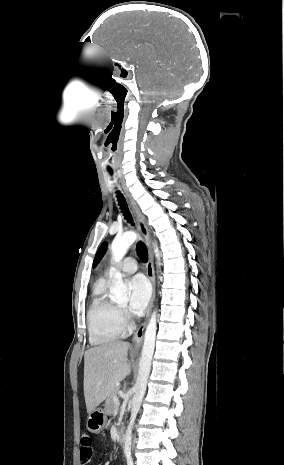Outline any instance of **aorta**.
<instances>
[{
    "label": "aorta",
    "instance_id": "obj_1",
    "mask_svg": "<svg viewBox=\"0 0 284 465\" xmlns=\"http://www.w3.org/2000/svg\"><path fill=\"white\" fill-rule=\"evenodd\" d=\"M137 234L134 232H126L122 235L116 236L111 244L112 258L115 262H120L125 256L129 247L136 241ZM157 259H159V250L157 247L154 249ZM114 283L110 289V297L113 301L121 303L128 300V287L124 284L121 272H115ZM157 330L156 311L151 315L147 325L144 343L141 352L139 363V372L135 384V393L132 398L131 415L128 427L124 435V453L127 458L131 457V443H132V429L144 397L147 382L151 370V363L155 348Z\"/></svg>",
    "mask_w": 284,
    "mask_h": 465
}]
</instances>
